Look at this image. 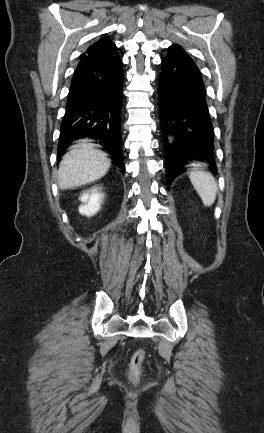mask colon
I'll list each match as a JSON object with an SVG mask.
<instances>
[{"label":"colon","instance_id":"5ec220e1","mask_svg":"<svg viewBox=\"0 0 264 433\" xmlns=\"http://www.w3.org/2000/svg\"><path fill=\"white\" fill-rule=\"evenodd\" d=\"M144 358L145 352L142 349L136 350L131 357L129 364V377L133 383H137L140 380Z\"/></svg>","mask_w":264,"mask_h":433}]
</instances>
